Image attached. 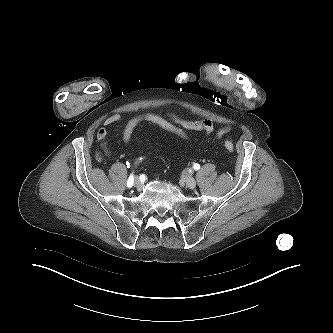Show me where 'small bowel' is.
<instances>
[{"label": "small bowel", "instance_id": "1", "mask_svg": "<svg viewBox=\"0 0 333 333\" xmlns=\"http://www.w3.org/2000/svg\"><path fill=\"white\" fill-rule=\"evenodd\" d=\"M165 117L169 119L175 125H178L184 130L189 131H203L206 135H211L214 131L213 122L209 119L203 120H187L183 119L175 114L166 113ZM122 121V116L120 114H113L107 117L103 122V127L99 128L96 134L98 141L106 155L110 154V150L107 145V130L106 126L117 124ZM229 127H223L217 131V138L221 139L224 135L230 132Z\"/></svg>", "mask_w": 333, "mask_h": 333}]
</instances>
